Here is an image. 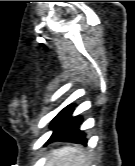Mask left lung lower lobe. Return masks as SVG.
Masks as SVG:
<instances>
[{"mask_svg":"<svg viewBox=\"0 0 135 166\" xmlns=\"http://www.w3.org/2000/svg\"><path fill=\"white\" fill-rule=\"evenodd\" d=\"M75 105L65 107L52 121L53 134L48 140L87 144L86 133L80 130L81 116H72Z\"/></svg>","mask_w":135,"mask_h":166,"instance_id":"0a47b994","label":"left lung lower lobe"}]
</instances>
